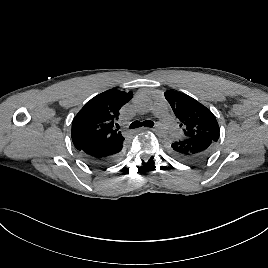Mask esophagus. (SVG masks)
Masks as SVG:
<instances>
[{
	"label": "esophagus",
	"mask_w": 268,
	"mask_h": 268,
	"mask_svg": "<svg viewBox=\"0 0 268 268\" xmlns=\"http://www.w3.org/2000/svg\"><path fill=\"white\" fill-rule=\"evenodd\" d=\"M142 129H144V130L149 129V130H152V131L155 130L154 128H148V127H143Z\"/></svg>",
	"instance_id": "1"
}]
</instances>
